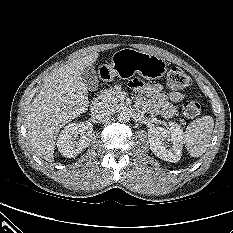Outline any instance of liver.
I'll return each instance as SVG.
<instances>
[{
    "instance_id": "liver-1",
    "label": "liver",
    "mask_w": 233,
    "mask_h": 233,
    "mask_svg": "<svg viewBox=\"0 0 233 233\" xmlns=\"http://www.w3.org/2000/svg\"><path fill=\"white\" fill-rule=\"evenodd\" d=\"M98 57L97 52H92L54 71L28 108L30 143L38 155L48 162L54 159L60 129L87 110L88 88L82 81L81 73Z\"/></svg>"
}]
</instances>
